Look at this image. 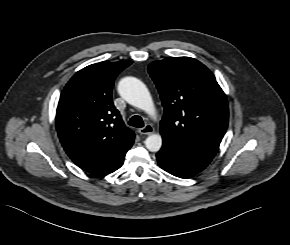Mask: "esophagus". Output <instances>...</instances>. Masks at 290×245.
<instances>
[{
  "label": "esophagus",
  "instance_id": "esophagus-1",
  "mask_svg": "<svg viewBox=\"0 0 290 245\" xmlns=\"http://www.w3.org/2000/svg\"><path fill=\"white\" fill-rule=\"evenodd\" d=\"M138 132L142 135H149L154 132V127L150 124H147L146 126L140 128Z\"/></svg>",
  "mask_w": 290,
  "mask_h": 245
}]
</instances>
